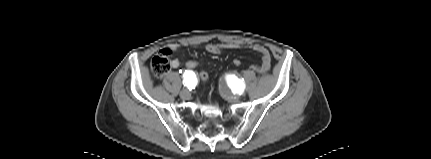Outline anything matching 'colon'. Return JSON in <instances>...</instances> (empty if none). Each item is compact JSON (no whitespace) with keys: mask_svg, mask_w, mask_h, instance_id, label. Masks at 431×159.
Here are the masks:
<instances>
[{"mask_svg":"<svg viewBox=\"0 0 431 159\" xmlns=\"http://www.w3.org/2000/svg\"><path fill=\"white\" fill-rule=\"evenodd\" d=\"M233 65L235 67L241 66V61L239 59L233 60ZM199 69L200 79L203 83L208 81V65L204 64L202 58L188 59L185 63V68L190 71H196ZM151 70L156 78L163 77L170 70V62L166 56V53L156 55L151 61Z\"/></svg>","mask_w":431,"mask_h":159,"instance_id":"obj_1","label":"colon"}]
</instances>
